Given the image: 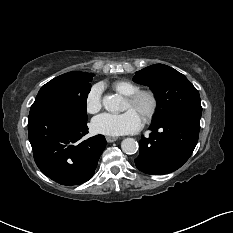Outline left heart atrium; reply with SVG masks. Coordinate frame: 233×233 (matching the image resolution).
<instances>
[{
    "instance_id": "39dd6f15",
    "label": "left heart atrium",
    "mask_w": 233,
    "mask_h": 233,
    "mask_svg": "<svg viewBox=\"0 0 233 233\" xmlns=\"http://www.w3.org/2000/svg\"><path fill=\"white\" fill-rule=\"evenodd\" d=\"M141 126L142 118L132 109L121 114H100L93 119L91 124L94 132L113 137L134 133L138 131Z\"/></svg>"
}]
</instances>
